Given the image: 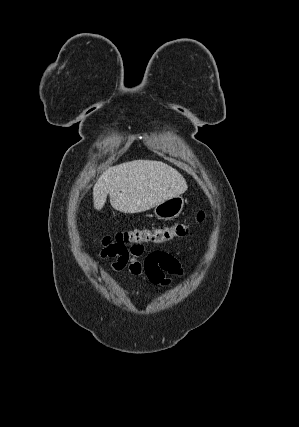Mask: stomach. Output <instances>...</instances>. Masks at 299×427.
I'll return each mask as SVG.
<instances>
[{
	"label": "stomach",
	"instance_id": "1",
	"mask_svg": "<svg viewBox=\"0 0 299 427\" xmlns=\"http://www.w3.org/2000/svg\"><path fill=\"white\" fill-rule=\"evenodd\" d=\"M184 207V198L180 195L170 198L154 207L158 219L170 220L179 216Z\"/></svg>",
	"mask_w": 299,
	"mask_h": 427
}]
</instances>
